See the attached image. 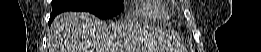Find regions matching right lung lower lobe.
Here are the masks:
<instances>
[{
  "mask_svg": "<svg viewBox=\"0 0 261 52\" xmlns=\"http://www.w3.org/2000/svg\"><path fill=\"white\" fill-rule=\"evenodd\" d=\"M59 14V12H52L51 16H50V20H49V25L51 24L52 20L54 19V17Z\"/></svg>",
  "mask_w": 261,
  "mask_h": 52,
  "instance_id": "1",
  "label": "right lung lower lobe"
}]
</instances>
